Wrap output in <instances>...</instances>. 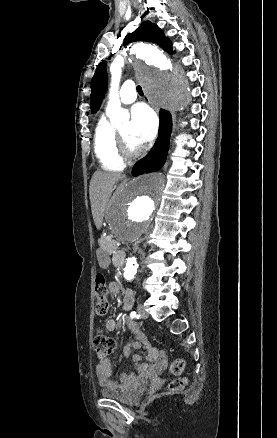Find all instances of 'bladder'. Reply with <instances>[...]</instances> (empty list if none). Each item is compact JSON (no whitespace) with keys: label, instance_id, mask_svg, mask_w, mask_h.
I'll return each instance as SVG.
<instances>
[{"label":"bladder","instance_id":"bladder-1","mask_svg":"<svg viewBox=\"0 0 277 438\" xmlns=\"http://www.w3.org/2000/svg\"><path fill=\"white\" fill-rule=\"evenodd\" d=\"M99 394L105 398L113 399L119 404L132 406L142 398L143 391L142 388L135 386H131L122 391L109 388H100Z\"/></svg>","mask_w":277,"mask_h":438}]
</instances>
